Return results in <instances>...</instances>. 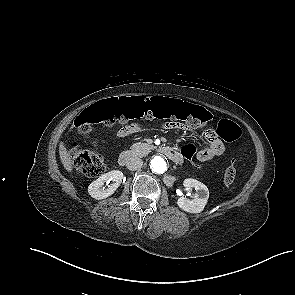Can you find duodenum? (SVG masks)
<instances>
[{
	"label": "duodenum",
	"instance_id": "1",
	"mask_svg": "<svg viewBox=\"0 0 295 295\" xmlns=\"http://www.w3.org/2000/svg\"><path fill=\"white\" fill-rule=\"evenodd\" d=\"M160 151L174 163L180 164L183 161L180 153L171 147H161ZM135 157L134 152L130 150L123 151L118 157V163L121 166L128 164Z\"/></svg>",
	"mask_w": 295,
	"mask_h": 295
}]
</instances>
